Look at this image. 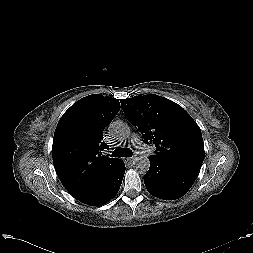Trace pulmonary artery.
<instances>
[{
	"label": "pulmonary artery",
	"mask_w": 253,
	"mask_h": 253,
	"mask_svg": "<svg viewBox=\"0 0 253 253\" xmlns=\"http://www.w3.org/2000/svg\"><path fill=\"white\" fill-rule=\"evenodd\" d=\"M131 142L134 145H136V147L139 149L141 153L147 151V146L140 141V138L138 135L136 134L132 135Z\"/></svg>",
	"instance_id": "obj_1"
}]
</instances>
